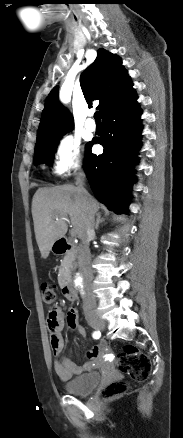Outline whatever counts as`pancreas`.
Returning a JSON list of instances; mask_svg holds the SVG:
<instances>
[{
  "label": "pancreas",
  "instance_id": "1",
  "mask_svg": "<svg viewBox=\"0 0 183 438\" xmlns=\"http://www.w3.org/2000/svg\"><path fill=\"white\" fill-rule=\"evenodd\" d=\"M74 260H75V256H74L73 252L67 253L66 256L63 258V260L61 262V267L59 270V277H58V281L60 284L63 282V275L66 272L65 268L71 267Z\"/></svg>",
  "mask_w": 183,
  "mask_h": 438
}]
</instances>
